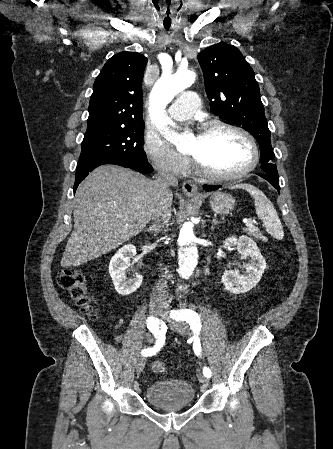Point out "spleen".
Segmentation results:
<instances>
[{"instance_id":"spleen-1","label":"spleen","mask_w":333,"mask_h":449,"mask_svg":"<svg viewBox=\"0 0 333 449\" xmlns=\"http://www.w3.org/2000/svg\"><path fill=\"white\" fill-rule=\"evenodd\" d=\"M231 188L246 189L254 198L256 214L263 221L267 232L276 239L283 238V227L276 209L260 189L250 184H240Z\"/></svg>"}]
</instances>
